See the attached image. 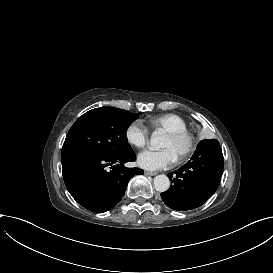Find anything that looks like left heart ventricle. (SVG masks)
I'll return each instance as SVG.
<instances>
[{
    "label": "left heart ventricle",
    "instance_id": "left-heart-ventricle-1",
    "mask_svg": "<svg viewBox=\"0 0 273 273\" xmlns=\"http://www.w3.org/2000/svg\"><path fill=\"white\" fill-rule=\"evenodd\" d=\"M161 147L169 148L177 158L180 155V153L185 149L186 140L185 139H171L165 135L162 140Z\"/></svg>",
    "mask_w": 273,
    "mask_h": 273
}]
</instances>
